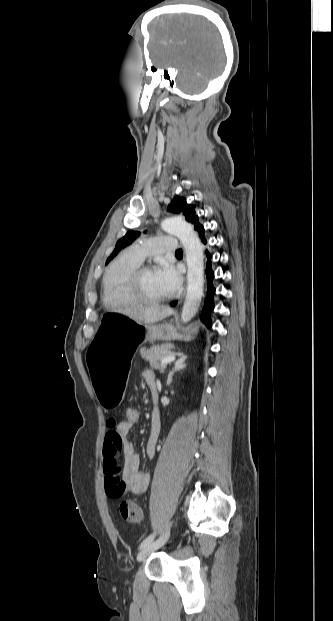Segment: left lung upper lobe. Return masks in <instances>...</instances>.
I'll return each mask as SVG.
<instances>
[{
    "mask_svg": "<svg viewBox=\"0 0 333 621\" xmlns=\"http://www.w3.org/2000/svg\"><path fill=\"white\" fill-rule=\"evenodd\" d=\"M168 211L170 212H183V215L186 218V221L191 223L196 230L201 226L198 220V216L195 212V205H189L186 203V199L183 197H175L172 202L168 206ZM140 232L129 230L124 237L119 239L116 243L115 249L112 254L108 257L106 264H108L121 249L131 244L137 237H139Z\"/></svg>",
    "mask_w": 333,
    "mask_h": 621,
    "instance_id": "left-lung-upper-lobe-1",
    "label": "left lung upper lobe"
}]
</instances>
